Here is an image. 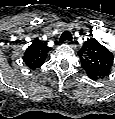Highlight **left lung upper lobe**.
<instances>
[{
	"mask_svg": "<svg viewBox=\"0 0 115 119\" xmlns=\"http://www.w3.org/2000/svg\"><path fill=\"white\" fill-rule=\"evenodd\" d=\"M79 56L89 77L107 76L114 62L113 54L95 38L87 39L79 51Z\"/></svg>",
	"mask_w": 115,
	"mask_h": 119,
	"instance_id": "left-lung-upper-lobe-1",
	"label": "left lung upper lobe"
}]
</instances>
